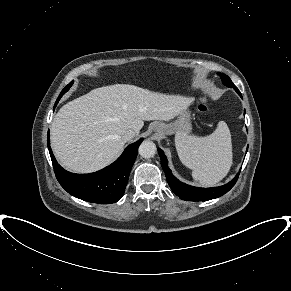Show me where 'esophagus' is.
Instances as JSON below:
<instances>
[{
  "label": "esophagus",
  "instance_id": "obj_1",
  "mask_svg": "<svg viewBox=\"0 0 291 291\" xmlns=\"http://www.w3.org/2000/svg\"><path fill=\"white\" fill-rule=\"evenodd\" d=\"M155 131H157L158 133H160V132H159V128H158V127H156V128H155ZM158 133H157V134H158Z\"/></svg>",
  "mask_w": 291,
  "mask_h": 291
}]
</instances>
